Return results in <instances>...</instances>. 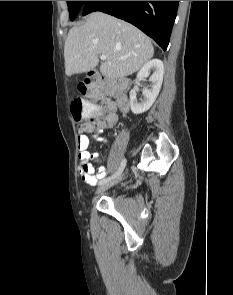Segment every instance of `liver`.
Here are the masks:
<instances>
[{"label": "liver", "mask_w": 233, "mask_h": 295, "mask_svg": "<svg viewBox=\"0 0 233 295\" xmlns=\"http://www.w3.org/2000/svg\"><path fill=\"white\" fill-rule=\"evenodd\" d=\"M154 54L151 40L138 28L103 12H93L86 22L69 30L64 46L67 76L94 69L99 55L103 76L123 78L137 72Z\"/></svg>", "instance_id": "6515ba94"}]
</instances>
